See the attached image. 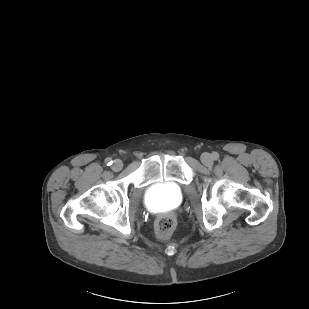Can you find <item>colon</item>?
Segmentation results:
<instances>
[{
    "mask_svg": "<svg viewBox=\"0 0 309 309\" xmlns=\"http://www.w3.org/2000/svg\"><path fill=\"white\" fill-rule=\"evenodd\" d=\"M176 227V218L171 214L161 216L155 226V233L158 239L166 240L173 233Z\"/></svg>",
    "mask_w": 309,
    "mask_h": 309,
    "instance_id": "colon-1",
    "label": "colon"
}]
</instances>
